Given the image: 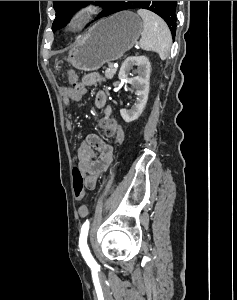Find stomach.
Instances as JSON below:
<instances>
[{
    "mask_svg": "<svg viewBox=\"0 0 237 300\" xmlns=\"http://www.w3.org/2000/svg\"><path fill=\"white\" fill-rule=\"evenodd\" d=\"M142 29L143 23L135 13H116L92 25L89 31L74 43L67 61L79 71H98L104 63L117 61L129 51L137 43Z\"/></svg>",
    "mask_w": 237,
    "mask_h": 300,
    "instance_id": "1",
    "label": "stomach"
}]
</instances>
